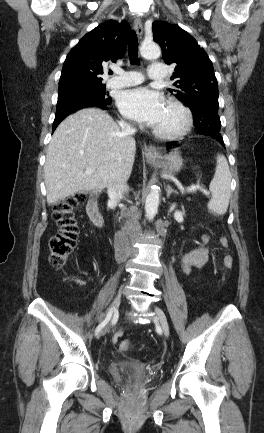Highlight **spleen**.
<instances>
[{"label": "spleen", "mask_w": 264, "mask_h": 433, "mask_svg": "<svg viewBox=\"0 0 264 433\" xmlns=\"http://www.w3.org/2000/svg\"><path fill=\"white\" fill-rule=\"evenodd\" d=\"M231 173L228 162L223 155L217 156L215 175L210 182L209 190L212 198L208 208L215 214L224 215L227 211L231 196Z\"/></svg>", "instance_id": "obj_1"}]
</instances>
